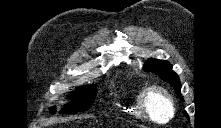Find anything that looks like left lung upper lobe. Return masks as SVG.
<instances>
[{
  "mask_svg": "<svg viewBox=\"0 0 221 128\" xmlns=\"http://www.w3.org/2000/svg\"><path fill=\"white\" fill-rule=\"evenodd\" d=\"M143 69L145 71L153 72L159 75L160 78L171 84L177 92L178 96L182 98L180 92L181 84L179 81V77L172 70V66L170 65V63H168L165 60H157L154 58H150L145 62ZM185 115L188 116L186 113Z\"/></svg>",
  "mask_w": 221,
  "mask_h": 128,
  "instance_id": "1",
  "label": "left lung upper lobe"
}]
</instances>
